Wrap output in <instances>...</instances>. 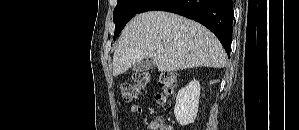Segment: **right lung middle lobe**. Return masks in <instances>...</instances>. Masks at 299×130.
Here are the masks:
<instances>
[{"mask_svg":"<svg viewBox=\"0 0 299 130\" xmlns=\"http://www.w3.org/2000/svg\"><path fill=\"white\" fill-rule=\"evenodd\" d=\"M148 0H118L113 12L115 23L114 40L125 27L126 23L134 17Z\"/></svg>","mask_w":299,"mask_h":130,"instance_id":"1","label":"right lung middle lobe"}]
</instances>
